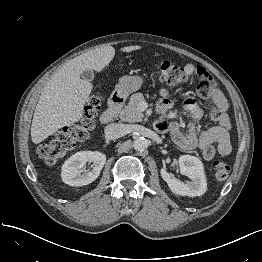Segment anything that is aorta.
<instances>
[{
	"mask_svg": "<svg viewBox=\"0 0 262 262\" xmlns=\"http://www.w3.org/2000/svg\"><path fill=\"white\" fill-rule=\"evenodd\" d=\"M133 147L136 151H144L148 147V140L144 137H136L133 141Z\"/></svg>",
	"mask_w": 262,
	"mask_h": 262,
	"instance_id": "1",
	"label": "aorta"
}]
</instances>
